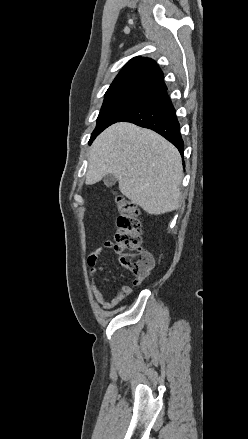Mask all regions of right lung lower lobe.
Here are the masks:
<instances>
[{"instance_id":"1","label":"right lung lower lobe","mask_w":248,"mask_h":439,"mask_svg":"<svg viewBox=\"0 0 248 439\" xmlns=\"http://www.w3.org/2000/svg\"><path fill=\"white\" fill-rule=\"evenodd\" d=\"M118 122H131L154 130L176 146L183 156L184 142L180 134V125L167 91L151 98Z\"/></svg>"}]
</instances>
